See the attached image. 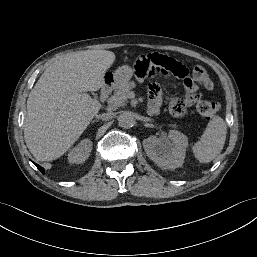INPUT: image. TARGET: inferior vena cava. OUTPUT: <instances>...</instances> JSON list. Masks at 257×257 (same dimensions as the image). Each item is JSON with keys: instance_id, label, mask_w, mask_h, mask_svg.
I'll return each mask as SVG.
<instances>
[{"instance_id": "602c4592", "label": "inferior vena cava", "mask_w": 257, "mask_h": 257, "mask_svg": "<svg viewBox=\"0 0 257 257\" xmlns=\"http://www.w3.org/2000/svg\"><path fill=\"white\" fill-rule=\"evenodd\" d=\"M112 117H113L112 113H104L101 115H96V118L101 120H110L112 119Z\"/></svg>"}]
</instances>
